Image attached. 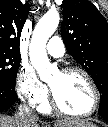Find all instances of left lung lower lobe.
<instances>
[{"label": "left lung lower lobe", "mask_w": 108, "mask_h": 127, "mask_svg": "<svg viewBox=\"0 0 108 127\" xmlns=\"http://www.w3.org/2000/svg\"><path fill=\"white\" fill-rule=\"evenodd\" d=\"M100 115L108 122V112L105 111H99Z\"/></svg>", "instance_id": "left-lung-lower-lobe-1"}]
</instances>
